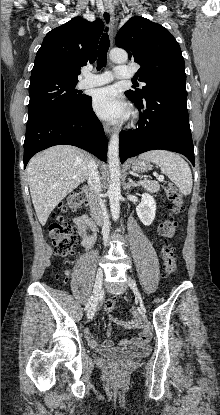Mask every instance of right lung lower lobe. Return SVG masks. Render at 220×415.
<instances>
[{
	"mask_svg": "<svg viewBox=\"0 0 220 415\" xmlns=\"http://www.w3.org/2000/svg\"><path fill=\"white\" fill-rule=\"evenodd\" d=\"M61 144L80 147L106 161L108 141L102 124L92 110L90 96H86L76 111L54 108L28 119L24 167L37 152Z\"/></svg>",
	"mask_w": 220,
	"mask_h": 415,
	"instance_id": "right-lung-lower-lobe-1",
	"label": "right lung lower lobe"
}]
</instances>
